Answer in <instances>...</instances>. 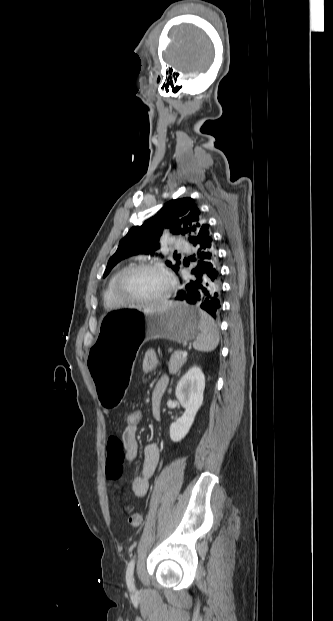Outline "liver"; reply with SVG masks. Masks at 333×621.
<instances>
[{"label":"liver","instance_id":"obj_1","mask_svg":"<svg viewBox=\"0 0 333 621\" xmlns=\"http://www.w3.org/2000/svg\"><path fill=\"white\" fill-rule=\"evenodd\" d=\"M173 304L172 301H164L152 306H149L147 308L144 309L145 313H149V312H160L163 311L165 309H167L169 306H171Z\"/></svg>","mask_w":333,"mask_h":621}]
</instances>
